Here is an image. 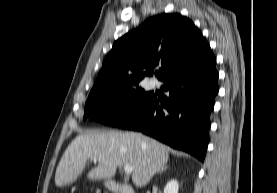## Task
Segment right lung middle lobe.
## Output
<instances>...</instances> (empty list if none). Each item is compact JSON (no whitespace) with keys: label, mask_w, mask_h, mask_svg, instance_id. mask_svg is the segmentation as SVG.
Instances as JSON below:
<instances>
[{"label":"right lung middle lobe","mask_w":277,"mask_h":193,"mask_svg":"<svg viewBox=\"0 0 277 193\" xmlns=\"http://www.w3.org/2000/svg\"><path fill=\"white\" fill-rule=\"evenodd\" d=\"M152 97L137 86L89 94L84 120H94L118 127Z\"/></svg>","instance_id":"right-lung-middle-lobe-1"}]
</instances>
